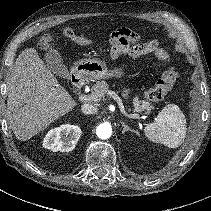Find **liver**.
I'll use <instances>...</instances> for the list:
<instances>
[{"instance_id": "6515ba94", "label": "liver", "mask_w": 211, "mask_h": 211, "mask_svg": "<svg viewBox=\"0 0 211 211\" xmlns=\"http://www.w3.org/2000/svg\"><path fill=\"white\" fill-rule=\"evenodd\" d=\"M76 105L36 49L20 53L11 71L7 98V118L18 140H29Z\"/></svg>"}]
</instances>
